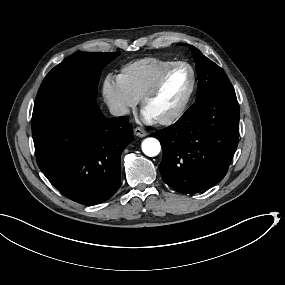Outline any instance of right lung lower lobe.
I'll return each instance as SVG.
<instances>
[{"label":"right lung lower lobe","mask_w":285,"mask_h":285,"mask_svg":"<svg viewBox=\"0 0 285 285\" xmlns=\"http://www.w3.org/2000/svg\"><path fill=\"white\" fill-rule=\"evenodd\" d=\"M32 136L42 173L62 195L88 206L119 189L121 153L134 140L127 117L105 118L95 97L75 90L34 104Z\"/></svg>","instance_id":"obj_1"}]
</instances>
